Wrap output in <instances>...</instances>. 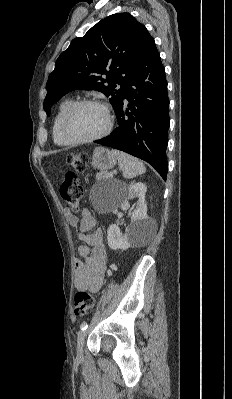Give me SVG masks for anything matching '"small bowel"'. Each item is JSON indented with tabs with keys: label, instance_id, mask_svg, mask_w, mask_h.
Returning <instances> with one entry per match:
<instances>
[{
	"label": "small bowel",
	"instance_id": "1",
	"mask_svg": "<svg viewBox=\"0 0 232 399\" xmlns=\"http://www.w3.org/2000/svg\"><path fill=\"white\" fill-rule=\"evenodd\" d=\"M87 209L88 206L84 205ZM94 229L91 234L87 231ZM79 239L81 244L78 247L80 256L87 261L76 260L74 262L73 285L75 290L82 292L90 289L97 293L103 284L104 270L107 256L102 245V230L96 225L94 219L85 217L80 225ZM90 246L92 250L88 248Z\"/></svg>",
	"mask_w": 232,
	"mask_h": 399
}]
</instances>
